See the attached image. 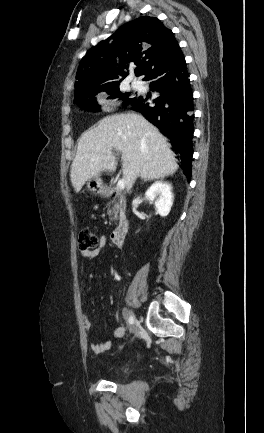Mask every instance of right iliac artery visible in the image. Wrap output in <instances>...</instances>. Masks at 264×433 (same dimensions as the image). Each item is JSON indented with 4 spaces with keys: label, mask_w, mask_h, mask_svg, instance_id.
<instances>
[{
    "label": "right iliac artery",
    "mask_w": 264,
    "mask_h": 433,
    "mask_svg": "<svg viewBox=\"0 0 264 433\" xmlns=\"http://www.w3.org/2000/svg\"><path fill=\"white\" fill-rule=\"evenodd\" d=\"M128 322H129V324H133V322H134V318L131 314L128 315Z\"/></svg>",
    "instance_id": "right-iliac-artery-1"
}]
</instances>
